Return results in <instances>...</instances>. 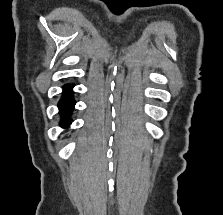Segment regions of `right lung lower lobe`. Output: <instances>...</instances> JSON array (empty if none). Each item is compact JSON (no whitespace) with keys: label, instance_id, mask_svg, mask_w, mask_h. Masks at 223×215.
Masks as SVG:
<instances>
[{"label":"right lung lower lobe","instance_id":"1","mask_svg":"<svg viewBox=\"0 0 223 215\" xmlns=\"http://www.w3.org/2000/svg\"><path fill=\"white\" fill-rule=\"evenodd\" d=\"M72 85H65L63 87V97L58 103V108L60 110V114L62 115L61 125L66 127L70 124L71 120L69 119V113H71L75 101L72 97Z\"/></svg>","mask_w":223,"mask_h":215}]
</instances>
